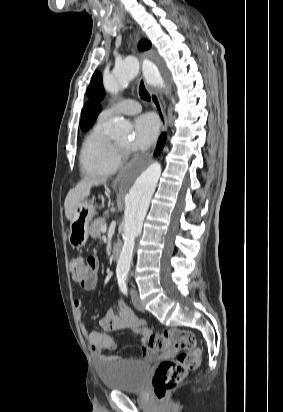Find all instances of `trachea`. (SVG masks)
Returning a JSON list of instances; mask_svg holds the SVG:
<instances>
[{
  "mask_svg": "<svg viewBox=\"0 0 283 412\" xmlns=\"http://www.w3.org/2000/svg\"><path fill=\"white\" fill-rule=\"evenodd\" d=\"M139 95H140V97H141L143 100L150 101V95H149V93L147 92V90H146V88H145V86H144L143 81L140 82Z\"/></svg>",
  "mask_w": 283,
  "mask_h": 412,
  "instance_id": "3493384b",
  "label": "trachea"
}]
</instances>
